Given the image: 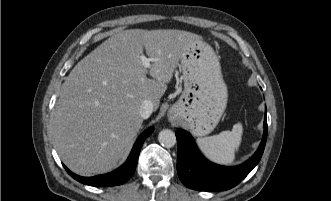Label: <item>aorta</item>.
<instances>
[{
	"instance_id": "1",
	"label": "aorta",
	"mask_w": 331,
	"mask_h": 201,
	"mask_svg": "<svg viewBox=\"0 0 331 201\" xmlns=\"http://www.w3.org/2000/svg\"><path fill=\"white\" fill-rule=\"evenodd\" d=\"M159 143L166 148H171L176 144V136L172 130L164 129L158 135Z\"/></svg>"
}]
</instances>
